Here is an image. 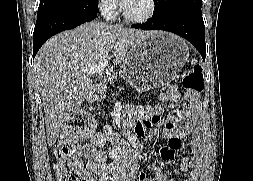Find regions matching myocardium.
Instances as JSON below:
<instances>
[{
  "instance_id": "myocardium-1",
  "label": "myocardium",
  "mask_w": 253,
  "mask_h": 181,
  "mask_svg": "<svg viewBox=\"0 0 253 181\" xmlns=\"http://www.w3.org/2000/svg\"><path fill=\"white\" fill-rule=\"evenodd\" d=\"M156 10H157V1L149 0V8L144 15L134 16L129 14L125 9H123V17L129 22L136 24H143L150 21L154 17Z\"/></svg>"
}]
</instances>
